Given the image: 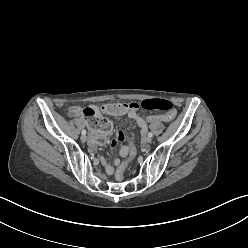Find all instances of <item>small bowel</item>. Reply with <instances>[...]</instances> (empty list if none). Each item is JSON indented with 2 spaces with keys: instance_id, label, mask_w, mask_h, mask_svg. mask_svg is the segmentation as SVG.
Wrapping results in <instances>:
<instances>
[{
  "instance_id": "obj_1",
  "label": "small bowel",
  "mask_w": 248,
  "mask_h": 248,
  "mask_svg": "<svg viewBox=\"0 0 248 248\" xmlns=\"http://www.w3.org/2000/svg\"><path fill=\"white\" fill-rule=\"evenodd\" d=\"M108 105H102V104H93L91 105L89 108H91L92 110H94L95 112V116L97 118H104L105 115H113L112 113H110L108 111ZM83 109L79 106H72L69 108L68 110V115L70 117H82L83 115ZM137 108H129L127 109L122 115H126L127 117H129L130 119H133L137 125L141 128V134L145 135V133L147 132L148 129V125H149V121L148 120H144L143 116H140L137 114L136 112ZM115 116V115H114ZM121 116V115H119ZM87 126H90L89 123H86ZM126 139V136L123 132L119 131L115 134L114 137H112L109 140V143L111 146H115L117 143L119 142H123ZM127 155V146H122L120 149V156L124 157ZM120 163L119 159H116L114 161L115 165H118ZM103 164L105 167V171L108 175H112L114 172V168H113V164L111 162H106L105 160H103Z\"/></svg>"
}]
</instances>
